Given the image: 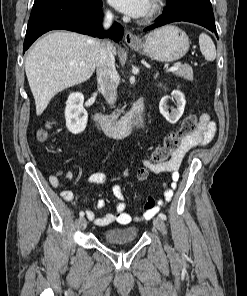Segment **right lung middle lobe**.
<instances>
[{"label": "right lung middle lobe", "mask_w": 247, "mask_h": 296, "mask_svg": "<svg viewBox=\"0 0 247 296\" xmlns=\"http://www.w3.org/2000/svg\"><path fill=\"white\" fill-rule=\"evenodd\" d=\"M35 1H37V0H35ZM86 1H91V2H97V1H99V0H86Z\"/></svg>", "instance_id": "dd1d6c3e"}]
</instances>
